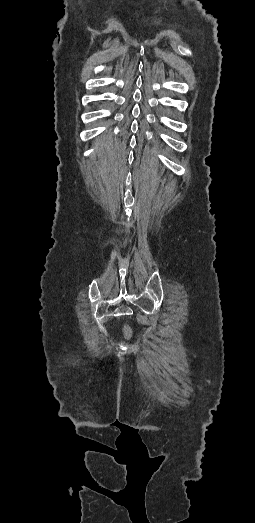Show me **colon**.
I'll use <instances>...</instances> for the list:
<instances>
[{
    "label": "colon",
    "instance_id": "colon-1",
    "mask_svg": "<svg viewBox=\"0 0 255 523\" xmlns=\"http://www.w3.org/2000/svg\"><path fill=\"white\" fill-rule=\"evenodd\" d=\"M124 332H125V335H126L127 337H129L130 334H131V330H130L129 327H125Z\"/></svg>",
    "mask_w": 255,
    "mask_h": 523
}]
</instances>
